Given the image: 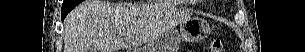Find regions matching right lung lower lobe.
<instances>
[{
    "instance_id": "98d812e1",
    "label": "right lung lower lobe",
    "mask_w": 305,
    "mask_h": 52,
    "mask_svg": "<svg viewBox=\"0 0 305 52\" xmlns=\"http://www.w3.org/2000/svg\"><path fill=\"white\" fill-rule=\"evenodd\" d=\"M65 1V0H64ZM76 5L64 4L62 5V20L66 17V15L75 7Z\"/></svg>"
}]
</instances>
